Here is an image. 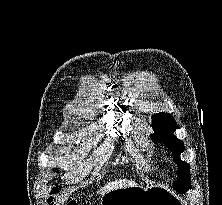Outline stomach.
Wrapping results in <instances>:
<instances>
[{"label":"stomach","instance_id":"1","mask_svg":"<svg viewBox=\"0 0 222 205\" xmlns=\"http://www.w3.org/2000/svg\"><path fill=\"white\" fill-rule=\"evenodd\" d=\"M100 205H185V202L163 186L145 188L136 184L102 194Z\"/></svg>","mask_w":222,"mask_h":205}]
</instances>
